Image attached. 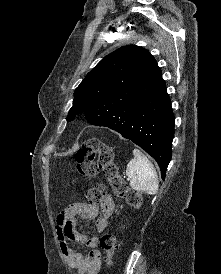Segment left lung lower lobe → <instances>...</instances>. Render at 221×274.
Listing matches in <instances>:
<instances>
[{"mask_svg": "<svg viewBox=\"0 0 221 274\" xmlns=\"http://www.w3.org/2000/svg\"><path fill=\"white\" fill-rule=\"evenodd\" d=\"M93 115V125L115 130L152 156L165 178L172 156L175 117L160 69L137 97Z\"/></svg>", "mask_w": 221, "mask_h": 274, "instance_id": "0a47b994", "label": "left lung lower lobe"}]
</instances>
